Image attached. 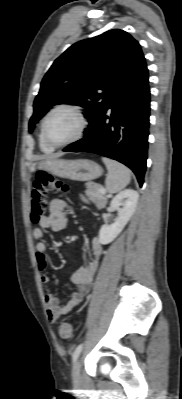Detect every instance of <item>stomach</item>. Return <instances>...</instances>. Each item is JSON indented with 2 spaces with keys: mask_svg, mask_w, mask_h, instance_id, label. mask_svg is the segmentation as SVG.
I'll use <instances>...</instances> for the list:
<instances>
[{
  "mask_svg": "<svg viewBox=\"0 0 182 399\" xmlns=\"http://www.w3.org/2000/svg\"><path fill=\"white\" fill-rule=\"evenodd\" d=\"M38 168L58 177L76 181L93 180L103 173L100 165L88 159H51L40 162Z\"/></svg>",
  "mask_w": 182,
  "mask_h": 399,
  "instance_id": "0dacf381",
  "label": "stomach"
}]
</instances>
